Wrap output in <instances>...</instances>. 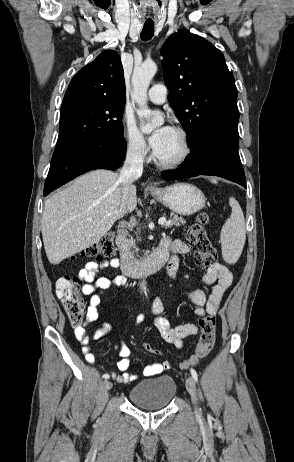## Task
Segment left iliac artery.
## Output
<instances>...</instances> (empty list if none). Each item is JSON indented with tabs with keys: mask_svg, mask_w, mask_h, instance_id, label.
Here are the masks:
<instances>
[{
	"mask_svg": "<svg viewBox=\"0 0 294 462\" xmlns=\"http://www.w3.org/2000/svg\"><path fill=\"white\" fill-rule=\"evenodd\" d=\"M190 372H191L193 379L197 382L198 381L197 372L194 369H190Z\"/></svg>",
	"mask_w": 294,
	"mask_h": 462,
	"instance_id": "44dca946",
	"label": "left iliac artery"
}]
</instances>
